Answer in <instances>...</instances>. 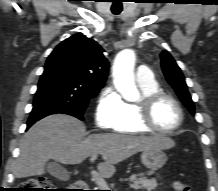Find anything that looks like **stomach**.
Instances as JSON below:
<instances>
[{
	"mask_svg": "<svg viewBox=\"0 0 218 191\" xmlns=\"http://www.w3.org/2000/svg\"><path fill=\"white\" fill-rule=\"evenodd\" d=\"M167 159L163 149L158 148L146 149L141 154L142 164L151 171L162 168L166 164Z\"/></svg>",
	"mask_w": 218,
	"mask_h": 191,
	"instance_id": "obj_1",
	"label": "stomach"
}]
</instances>
